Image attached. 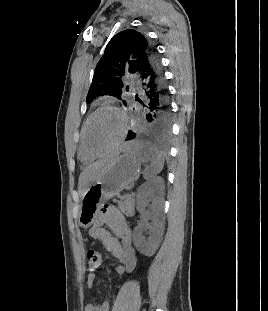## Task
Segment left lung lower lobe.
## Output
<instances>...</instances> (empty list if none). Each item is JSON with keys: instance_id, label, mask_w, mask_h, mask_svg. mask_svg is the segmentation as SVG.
I'll list each match as a JSON object with an SVG mask.
<instances>
[{"instance_id": "1", "label": "left lung lower lobe", "mask_w": 268, "mask_h": 311, "mask_svg": "<svg viewBox=\"0 0 268 311\" xmlns=\"http://www.w3.org/2000/svg\"><path fill=\"white\" fill-rule=\"evenodd\" d=\"M141 98L143 105L140 120L134 122L126 140L169 141L171 126V108L166 88V81L160 59L149 48V59L142 61L138 68Z\"/></svg>"}]
</instances>
